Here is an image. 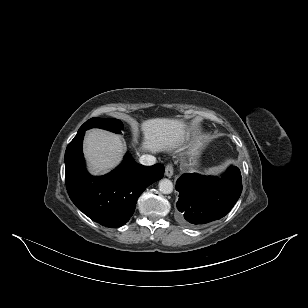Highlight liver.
Returning a JSON list of instances; mask_svg holds the SVG:
<instances>
[{
    "label": "liver",
    "mask_w": 308,
    "mask_h": 308,
    "mask_svg": "<svg viewBox=\"0 0 308 308\" xmlns=\"http://www.w3.org/2000/svg\"><path fill=\"white\" fill-rule=\"evenodd\" d=\"M140 127L143 133L142 151H181L188 139L186 125L181 120L153 118L143 121ZM84 154L92 174H105L120 164L124 145L120 136L92 129L85 136Z\"/></svg>",
    "instance_id": "6515ba94"
}]
</instances>
